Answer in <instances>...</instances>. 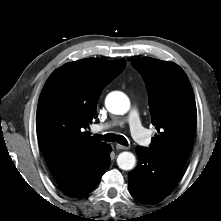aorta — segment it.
Instances as JSON below:
<instances>
[{
  "mask_svg": "<svg viewBox=\"0 0 221 221\" xmlns=\"http://www.w3.org/2000/svg\"><path fill=\"white\" fill-rule=\"evenodd\" d=\"M105 106L110 113L123 115L130 109V100L123 92L113 91L107 95ZM135 163V156L131 152H122L117 157V164L122 170L133 169Z\"/></svg>",
  "mask_w": 221,
  "mask_h": 221,
  "instance_id": "762f6f07",
  "label": "aorta"
}]
</instances>
